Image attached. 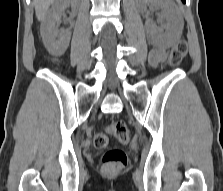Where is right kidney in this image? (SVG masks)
I'll return each instance as SVG.
<instances>
[{"mask_svg":"<svg viewBox=\"0 0 223 191\" xmlns=\"http://www.w3.org/2000/svg\"><path fill=\"white\" fill-rule=\"evenodd\" d=\"M77 0H57L46 14L41 24V36L47 50L53 55H62L70 42L71 33L67 29L58 30L63 11L75 7Z\"/></svg>","mask_w":223,"mask_h":191,"instance_id":"1","label":"right kidney"}]
</instances>
